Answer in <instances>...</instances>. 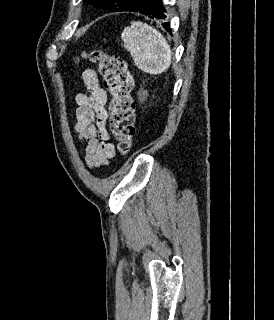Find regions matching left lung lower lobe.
I'll return each mask as SVG.
<instances>
[{"label":"left lung lower lobe","instance_id":"0a47b994","mask_svg":"<svg viewBox=\"0 0 274 320\" xmlns=\"http://www.w3.org/2000/svg\"><path fill=\"white\" fill-rule=\"evenodd\" d=\"M122 11H133L144 14L152 19L163 20L166 18L162 0H135L130 6ZM162 26L168 31L170 27L169 22H163ZM171 34V31H170Z\"/></svg>","mask_w":274,"mask_h":320}]
</instances>
